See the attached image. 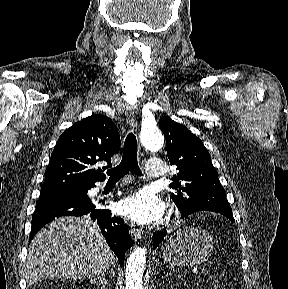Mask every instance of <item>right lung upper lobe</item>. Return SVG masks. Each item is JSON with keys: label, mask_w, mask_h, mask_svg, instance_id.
<instances>
[{"label": "right lung upper lobe", "mask_w": 288, "mask_h": 289, "mask_svg": "<svg viewBox=\"0 0 288 289\" xmlns=\"http://www.w3.org/2000/svg\"><path fill=\"white\" fill-rule=\"evenodd\" d=\"M119 149L118 129L110 118L92 115L76 122L59 137L41 190L87 188L105 180L103 170ZM99 161L108 165L97 169Z\"/></svg>", "instance_id": "obj_1"}]
</instances>
